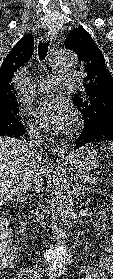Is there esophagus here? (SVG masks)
Here are the masks:
<instances>
[{
    "label": "esophagus",
    "mask_w": 113,
    "mask_h": 279,
    "mask_svg": "<svg viewBox=\"0 0 113 279\" xmlns=\"http://www.w3.org/2000/svg\"><path fill=\"white\" fill-rule=\"evenodd\" d=\"M45 39L48 41L50 40L52 43L53 41L56 39V33L53 31H49L45 34ZM58 152L61 156H64L65 154L68 153V151L70 150L69 147V143L68 142H61L58 146H57Z\"/></svg>",
    "instance_id": "34e87169"
}]
</instances>
